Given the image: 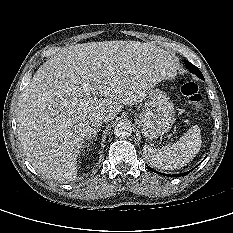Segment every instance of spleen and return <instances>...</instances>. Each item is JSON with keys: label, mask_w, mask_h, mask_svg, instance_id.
<instances>
[{"label": "spleen", "mask_w": 233, "mask_h": 233, "mask_svg": "<svg viewBox=\"0 0 233 233\" xmlns=\"http://www.w3.org/2000/svg\"><path fill=\"white\" fill-rule=\"evenodd\" d=\"M200 128L192 126L176 143L163 148L145 145L143 152L151 166L157 169L173 170L189 163L201 148Z\"/></svg>", "instance_id": "3e777b00"}]
</instances>
